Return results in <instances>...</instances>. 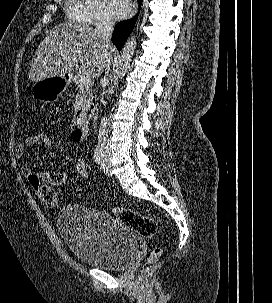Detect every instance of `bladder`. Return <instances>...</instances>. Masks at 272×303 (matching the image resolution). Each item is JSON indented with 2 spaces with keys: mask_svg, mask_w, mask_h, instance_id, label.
Returning a JSON list of instances; mask_svg holds the SVG:
<instances>
[{
  "mask_svg": "<svg viewBox=\"0 0 272 303\" xmlns=\"http://www.w3.org/2000/svg\"><path fill=\"white\" fill-rule=\"evenodd\" d=\"M57 227L71 253L82 263L96 268H124L139 252L133 229L99 209L65 205L58 213Z\"/></svg>",
  "mask_w": 272,
  "mask_h": 303,
  "instance_id": "31cf9c89",
  "label": "bladder"
}]
</instances>
